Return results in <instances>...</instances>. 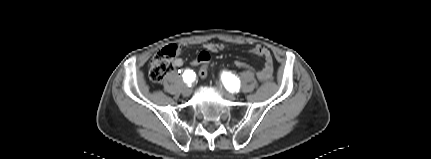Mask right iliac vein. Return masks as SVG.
<instances>
[{
  "label": "right iliac vein",
  "mask_w": 431,
  "mask_h": 159,
  "mask_svg": "<svg viewBox=\"0 0 431 159\" xmlns=\"http://www.w3.org/2000/svg\"><path fill=\"white\" fill-rule=\"evenodd\" d=\"M191 92H192V90H191V88H190L188 85H185V86L183 87V89H182V95H183L184 97H188V96H190V95H191Z\"/></svg>",
  "instance_id": "63e3f726"
}]
</instances>
